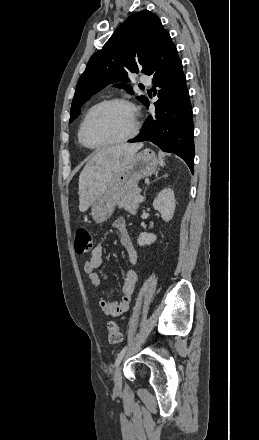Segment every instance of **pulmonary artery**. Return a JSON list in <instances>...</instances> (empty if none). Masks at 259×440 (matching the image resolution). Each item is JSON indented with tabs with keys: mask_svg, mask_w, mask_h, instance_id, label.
<instances>
[{
	"mask_svg": "<svg viewBox=\"0 0 259 440\" xmlns=\"http://www.w3.org/2000/svg\"><path fill=\"white\" fill-rule=\"evenodd\" d=\"M140 81L146 85L151 84V78L149 76L143 75L140 79Z\"/></svg>",
	"mask_w": 259,
	"mask_h": 440,
	"instance_id": "e3ab8cb5",
	"label": "pulmonary artery"
}]
</instances>
